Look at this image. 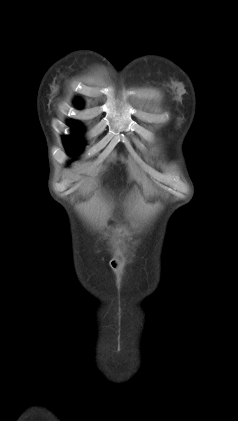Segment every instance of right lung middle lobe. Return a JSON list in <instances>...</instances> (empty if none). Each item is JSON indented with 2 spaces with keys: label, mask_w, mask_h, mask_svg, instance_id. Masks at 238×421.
<instances>
[{
  "label": "right lung middle lobe",
  "mask_w": 238,
  "mask_h": 421,
  "mask_svg": "<svg viewBox=\"0 0 238 421\" xmlns=\"http://www.w3.org/2000/svg\"><path fill=\"white\" fill-rule=\"evenodd\" d=\"M71 128L75 132H81L82 126L78 124L77 122L71 121ZM64 144L66 146V149L71 155H76L80 153L82 147H83V141L80 138L77 137H63Z\"/></svg>",
  "instance_id": "obj_1"
}]
</instances>
